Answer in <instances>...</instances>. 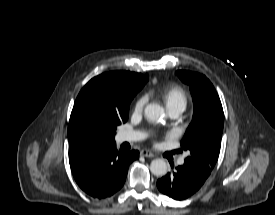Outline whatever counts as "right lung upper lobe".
<instances>
[{"label":"right lung upper lobe","mask_w":275,"mask_h":215,"mask_svg":"<svg viewBox=\"0 0 275 215\" xmlns=\"http://www.w3.org/2000/svg\"><path fill=\"white\" fill-rule=\"evenodd\" d=\"M148 81V76L129 71L103 73L91 79L80 91L73 110L84 102H97L117 111L137 94ZM69 149L73 147L69 146Z\"/></svg>","instance_id":"1"}]
</instances>
